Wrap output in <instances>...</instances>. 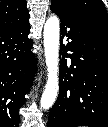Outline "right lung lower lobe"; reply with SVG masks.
Instances as JSON below:
<instances>
[{
	"label": "right lung lower lobe",
	"instance_id": "obj_1",
	"mask_svg": "<svg viewBox=\"0 0 108 127\" xmlns=\"http://www.w3.org/2000/svg\"><path fill=\"white\" fill-rule=\"evenodd\" d=\"M29 32L30 24L0 33V127H18L19 109L36 72Z\"/></svg>",
	"mask_w": 108,
	"mask_h": 127
}]
</instances>
